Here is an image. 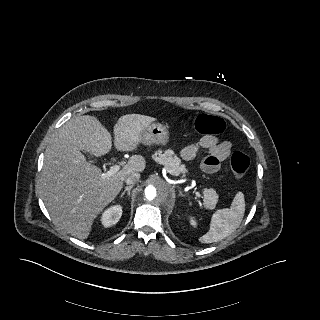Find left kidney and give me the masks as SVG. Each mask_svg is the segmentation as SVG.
Instances as JSON below:
<instances>
[{
	"instance_id": "left-kidney-1",
	"label": "left kidney",
	"mask_w": 320,
	"mask_h": 320,
	"mask_svg": "<svg viewBox=\"0 0 320 320\" xmlns=\"http://www.w3.org/2000/svg\"><path fill=\"white\" fill-rule=\"evenodd\" d=\"M190 222H191V225H193V226H195L196 225V222H195V220H190Z\"/></svg>"
}]
</instances>
